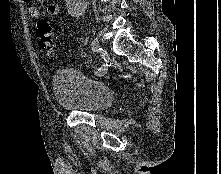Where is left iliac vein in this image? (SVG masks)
Here are the masks:
<instances>
[{
  "label": "left iliac vein",
  "instance_id": "left-iliac-vein-1",
  "mask_svg": "<svg viewBox=\"0 0 221 174\" xmlns=\"http://www.w3.org/2000/svg\"><path fill=\"white\" fill-rule=\"evenodd\" d=\"M91 49L93 51V53H98L99 49H100V45H99V41L98 38L95 37L92 42H91Z\"/></svg>",
  "mask_w": 221,
  "mask_h": 174
}]
</instances>
